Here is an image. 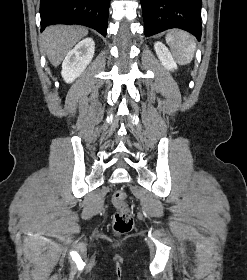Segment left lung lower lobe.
Masks as SVG:
<instances>
[{
  "label": "left lung lower lobe",
  "mask_w": 247,
  "mask_h": 280,
  "mask_svg": "<svg viewBox=\"0 0 247 280\" xmlns=\"http://www.w3.org/2000/svg\"><path fill=\"white\" fill-rule=\"evenodd\" d=\"M145 36L181 28L201 38V0H140Z\"/></svg>",
  "instance_id": "1"
}]
</instances>
